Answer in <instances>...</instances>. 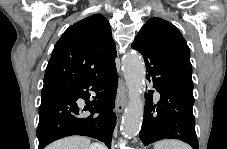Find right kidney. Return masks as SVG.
<instances>
[{
  "label": "right kidney",
  "mask_w": 227,
  "mask_h": 149,
  "mask_svg": "<svg viewBox=\"0 0 227 149\" xmlns=\"http://www.w3.org/2000/svg\"><path fill=\"white\" fill-rule=\"evenodd\" d=\"M88 149H102V146L100 144H92Z\"/></svg>",
  "instance_id": "1"
}]
</instances>
